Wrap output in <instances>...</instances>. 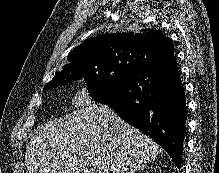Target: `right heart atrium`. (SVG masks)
Instances as JSON below:
<instances>
[{
    "mask_svg": "<svg viewBox=\"0 0 219 173\" xmlns=\"http://www.w3.org/2000/svg\"><path fill=\"white\" fill-rule=\"evenodd\" d=\"M92 103V92L86 86L78 87L72 93V104L80 109L87 108Z\"/></svg>",
    "mask_w": 219,
    "mask_h": 173,
    "instance_id": "1",
    "label": "right heart atrium"
}]
</instances>
